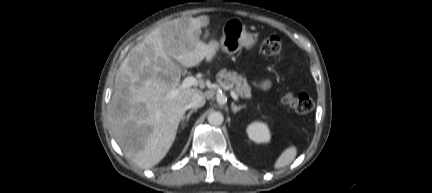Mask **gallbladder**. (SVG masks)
<instances>
[{"mask_svg": "<svg viewBox=\"0 0 432 193\" xmlns=\"http://www.w3.org/2000/svg\"><path fill=\"white\" fill-rule=\"evenodd\" d=\"M176 65H178V63L176 61H173Z\"/></svg>", "mask_w": 432, "mask_h": 193, "instance_id": "obj_1", "label": "gallbladder"}]
</instances>
